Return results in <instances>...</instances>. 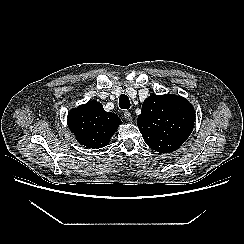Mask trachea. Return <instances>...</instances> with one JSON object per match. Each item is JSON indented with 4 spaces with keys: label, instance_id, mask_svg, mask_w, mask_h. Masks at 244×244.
<instances>
[{
    "label": "trachea",
    "instance_id": "3493384b",
    "mask_svg": "<svg viewBox=\"0 0 244 244\" xmlns=\"http://www.w3.org/2000/svg\"><path fill=\"white\" fill-rule=\"evenodd\" d=\"M130 100L127 95L122 94L119 98V107L121 109H129L130 108Z\"/></svg>",
    "mask_w": 244,
    "mask_h": 244
}]
</instances>
